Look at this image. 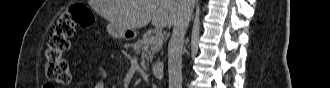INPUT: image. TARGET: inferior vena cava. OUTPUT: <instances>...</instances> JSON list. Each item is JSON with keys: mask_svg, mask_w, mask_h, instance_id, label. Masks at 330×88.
<instances>
[{"mask_svg": "<svg viewBox=\"0 0 330 88\" xmlns=\"http://www.w3.org/2000/svg\"><path fill=\"white\" fill-rule=\"evenodd\" d=\"M182 7L173 24V32L168 44L169 88H182V49L193 6L192 0H180Z\"/></svg>", "mask_w": 330, "mask_h": 88, "instance_id": "602c4592", "label": "inferior vena cava"}]
</instances>
